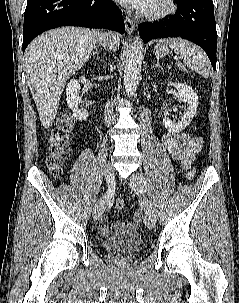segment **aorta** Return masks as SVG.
<instances>
[{
	"instance_id": "aorta-1",
	"label": "aorta",
	"mask_w": 239,
	"mask_h": 303,
	"mask_svg": "<svg viewBox=\"0 0 239 303\" xmlns=\"http://www.w3.org/2000/svg\"><path fill=\"white\" fill-rule=\"evenodd\" d=\"M143 49L142 40L136 37L126 53L123 82L128 96L134 94L141 79Z\"/></svg>"
}]
</instances>
